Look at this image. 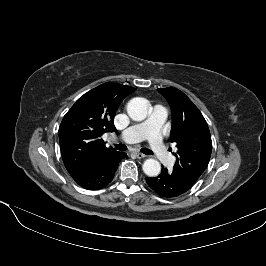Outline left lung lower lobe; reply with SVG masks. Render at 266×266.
<instances>
[{
  "label": "left lung lower lobe",
  "mask_w": 266,
  "mask_h": 266,
  "mask_svg": "<svg viewBox=\"0 0 266 266\" xmlns=\"http://www.w3.org/2000/svg\"><path fill=\"white\" fill-rule=\"evenodd\" d=\"M146 181L157 194L167 198L180 196L191 188L163 166L158 177L146 178Z\"/></svg>",
  "instance_id": "0a47b994"
}]
</instances>
